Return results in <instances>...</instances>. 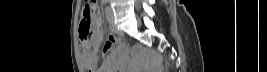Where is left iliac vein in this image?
Here are the masks:
<instances>
[{"label":"left iliac vein","instance_id":"left-iliac-vein-1","mask_svg":"<svg viewBox=\"0 0 267 72\" xmlns=\"http://www.w3.org/2000/svg\"><path fill=\"white\" fill-rule=\"evenodd\" d=\"M109 10H108V21H109V24H110V27L112 29V31L118 35H122L123 32L121 30H119L115 23H114V14H113V11L110 7H108Z\"/></svg>","mask_w":267,"mask_h":72}]
</instances>
